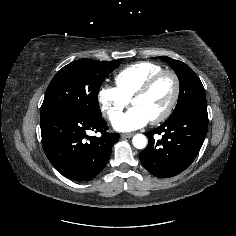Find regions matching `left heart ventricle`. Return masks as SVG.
Masks as SVG:
<instances>
[{"mask_svg":"<svg viewBox=\"0 0 236 236\" xmlns=\"http://www.w3.org/2000/svg\"><path fill=\"white\" fill-rule=\"evenodd\" d=\"M174 84L169 76L162 78L145 96L132 101L133 107L140 108L152 120L163 113L173 94Z\"/></svg>","mask_w":236,"mask_h":236,"instance_id":"b2bd125f","label":"left heart ventricle"}]
</instances>
